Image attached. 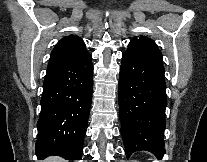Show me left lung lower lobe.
<instances>
[{"mask_svg": "<svg viewBox=\"0 0 207 162\" xmlns=\"http://www.w3.org/2000/svg\"><path fill=\"white\" fill-rule=\"evenodd\" d=\"M118 92L127 157L146 150L161 159L165 154L163 134L167 106L163 64L125 52Z\"/></svg>", "mask_w": 207, "mask_h": 162, "instance_id": "0a47b994", "label": "left lung lower lobe"}]
</instances>
